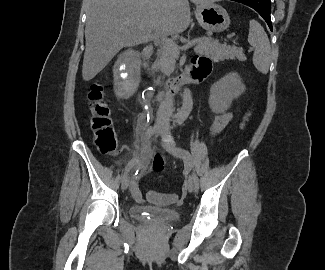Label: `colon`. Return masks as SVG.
Wrapping results in <instances>:
<instances>
[{
  "label": "colon",
  "mask_w": 325,
  "mask_h": 270,
  "mask_svg": "<svg viewBox=\"0 0 325 270\" xmlns=\"http://www.w3.org/2000/svg\"><path fill=\"white\" fill-rule=\"evenodd\" d=\"M88 108L90 111V126L94 133L95 144L104 155L113 154L116 148L117 136L111 126L109 106L104 99L103 89L99 84H93L88 93ZM251 116V111L246 113L242 122L243 128ZM147 199L158 205H169L178 200L177 194H163L149 191Z\"/></svg>",
  "instance_id": "1"
}]
</instances>
